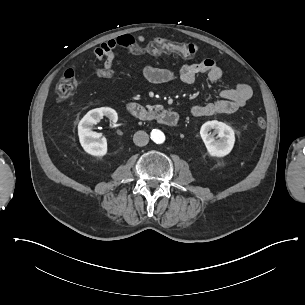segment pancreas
Returning a JSON list of instances; mask_svg holds the SVG:
<instances>
[{
  "instance_id": "1",
  "label": "pancreas",
  "mask_w": 305,
  "mask_h": 305,
  "mask_svg": "<svg viewBox=\"0 0 305 305\" xmlns=\"http://www.w3.org/2000/svg\"><path fill=\"white\" fill-rule=\"evenodd\" d=\"M150 118H151V119H154V118H155V116H154V115H151V116H150Z\"/></svg>"
}]
</instances>
